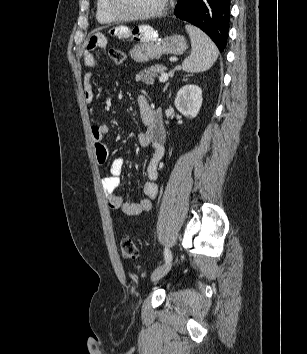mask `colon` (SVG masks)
Returning a JSON list of instances; mask_svg holds the SVG:
<instances>
[{
    "label": "colon",
    "mask_w": 307,
    "mask_h": 354,
    "mask_svg": "<svg viewBox=\"0 0 307 354\" xmlns=\"http://www.w3.org/2000/svg\"><path fill=\"white\" fill-rule=\"evenodd\" d=\"M110 57L115 63H122L125 58V52L121 49L110 50ZM122 255L126 259H136L138 257V250L133 241L129 238L121 240Z\"/></svg>",
    "instance_id": "1"
}]
</instances>
